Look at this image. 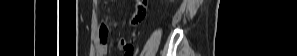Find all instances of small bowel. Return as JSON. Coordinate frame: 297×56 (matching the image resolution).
<instances>
[{"label":"small bowel","instance_id":"c3829d8e","mask_svg":"<svg viewBox=\"0 0 297 56\" xmlns=\"http://www.w3.org/2000/svg\"><path fill=\"white\" fill-rule=\"evenodd\" d=\"M120 47L124 49L125 51V56H132L133 55V49L132 47L129 45L128 41H120ZM108 52V46L106 43V40H102L100 38V41L97 44L96 47V53L98 56H104L106 55Z\"/></svg>","mask_w":297,"mask_h":56}]
</instances>
